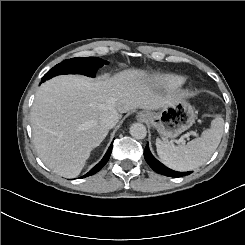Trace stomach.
Here are the masks:
<instances>
[{"mask_svg":"<svg viewBox=\"0 0 245 245\" xmlns=\"http://www.w3.org/2000/svg\"><path fill=\"white\" fill-rule=\"evenodd\" d=\"M153 119L149 123L158 131L166 141L175 138L189 129L196 119L194 108L186 101L172 102L159 112H152Z\"/></svg>","mask_w":245,"mask_h":245,"instance_id":"1","label":"stomach"}]
</instances>
